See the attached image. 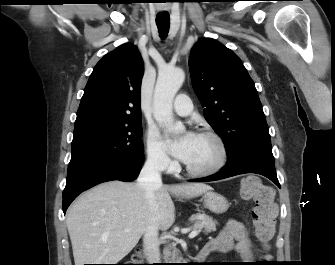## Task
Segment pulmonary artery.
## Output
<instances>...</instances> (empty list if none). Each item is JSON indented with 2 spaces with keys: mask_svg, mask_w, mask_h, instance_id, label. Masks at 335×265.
Returning <instances> with one entry per match:
<instances>
[{
  "mask_svg": "<svg viewBox=\"0 0 335 265\" xmlns=\"http://www.w3.org/2000/svg\"><path fill=\"white\" fill-rule=\"evenodd\" d=\"M173 108L174 111L181 116L190 114L192 111L190 98L185 94L178 95L174 101Z\"/></svg>",
  "mask_w": 335,
  "mask_h": 265,
  "instance_id": "pulmonary-artery-1",
  "label": "pulmonary artery"
}]
</instances>
